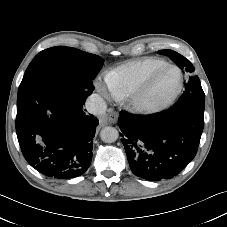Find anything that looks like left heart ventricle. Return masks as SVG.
<instances>
[{"label":"left heart ventricle","instance_id":"b2bd125f","mask_svg":"<svg viewBox=\"0 0 227 227\" xmlns=\"http://www.w3.org/2000/svg\"><path fill=\"white\" fill-rule=\"evenodd\" d=\"M179 75L170 69L159 76L147 96L148 102H158L167 97L177 86Z\"/></svg>","mask_w":227,"mask_h":227}]
</instances>
